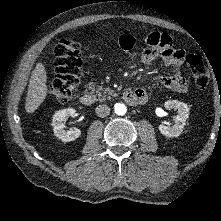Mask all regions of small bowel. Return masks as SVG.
<instances>
[{"label": "small bowel", "mask_w": 221, "mask_h": 221, "mask_svg": "<svg viewBox=\"0 0 221 221\" xmlns=\"http://www.w3.org/2000/svg\"><path fill=\"white\" fill-rule=\"evenodd\" d=\"M144 48L142 49L139 58L145 65H152V63L160 57L166 66L174 69V73L167 77H158L155 83L167 89L185 93L188 90L187 81L180 75L179 68L185 59V52L183 50L175 49L173 47L172 38L167 34L152 32L148 34L144 40ZM119 47L131 52L135 46V38L131 35H122L118 40ZM144 98L147 99V93L143 88L136 90Z\"/></svg>", "instance_id": "small-bowel-1"}]
</instances>
